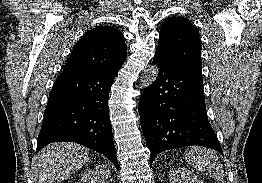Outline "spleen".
<instances>
[{
  "label": "spleen",
  "instance_id": "3e777b00",
  "mask_svg": "<svg viewBox=\"0 0 262 183\" xmlns=\"http://www.w3.org/2000/svg\"><path fill=\"white\" fill-rule=\"evenodd\" d=\"M184 157L194 168L216 180L223 181V167L212 150L194 146L185 149Z\"/></svg>",
  "mask_w": 262,
  "mask_h": 183
}]
</instances>
